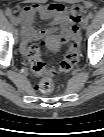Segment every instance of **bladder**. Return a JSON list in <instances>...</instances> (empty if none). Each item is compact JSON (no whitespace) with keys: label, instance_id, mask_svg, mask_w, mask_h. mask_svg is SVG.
Returning <instances> with one entry per match:
<instances>
[{"label":"bladder","instance_id":"obj_1","mask_svg":"<svg viewBox=\"0 0 104 137\" xmlns=\"http://www.w3.org/2000/svg\"><path fill=\"white\" fill-rule=\"evenodd\" d=\"M45 46L48 51L57 52L61 48V41L57 38H52L46 42Z\"/></svg>","mask_w":104,"mask_h":137}]
</instances>
